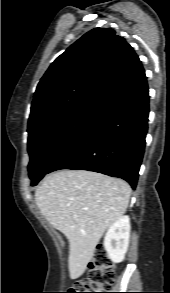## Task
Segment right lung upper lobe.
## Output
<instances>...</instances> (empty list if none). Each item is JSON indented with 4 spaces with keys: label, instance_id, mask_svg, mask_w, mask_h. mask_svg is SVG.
<instances>
[{
    "label": "right lung upper lobe",
    "instance_id": "obj_1",
    "mask_svg": "<svg viewBox=\"0 0 170 293\" xmlns=\"http://www.w3.org/2000/svg\"><path fill=\"white\" fill-rule=\"evenodd\" d=\"M146 79L141 61L123 37L95 28L72 44L39 82L28 128L82 103L104 105Z\"/></svg>",
    "mask_w": 170,
    "mask_h": 293
}]
</instances>
